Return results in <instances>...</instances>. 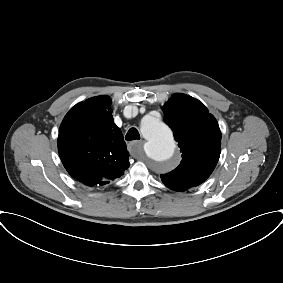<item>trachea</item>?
I'll return each instance as SVG.
<instances>
[{
  "label": "trachea",
  "mask_w": 283,
  "mask_h": 283,
  "mask_svg": "<svg viewBox=\"0 0 283 283\" xmlns=\"http://www.w3.org/2000/svg\"><path fill=\"white\" fill-rule=\"evenodd\" d=\"M125 139L128 141L131 140H139L140 139V135L139 132L136 128H130L129 131L127 132Z\"/></svg>",
  "instance_id": "obj_1"
}]
</instances>
